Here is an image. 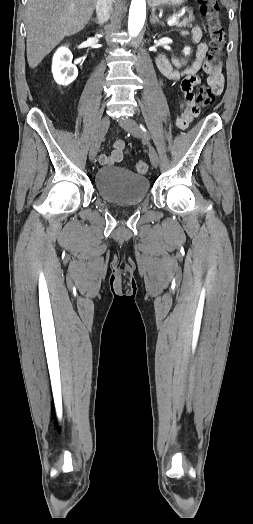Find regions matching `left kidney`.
<instances>
[{
    "instance_id": "1",
    "label": "left kidney",
    "mask_w": 253,
    "mask_h": 524,
    "mask_svg": "<svg viewBox=\"0 0 253 524\" xmlns=\"http://www.w3.org/2000/svg\"><path fill=\"white\" fill-rule=\"evenodd\" d=\"M183 52H184L185 55L190 54V48L189 47H185Z\"/></svg>"
}]
</instances>
